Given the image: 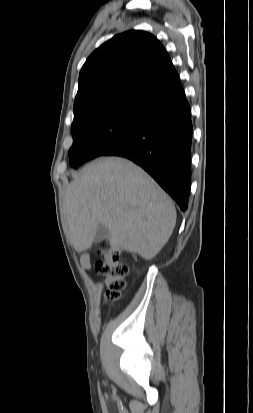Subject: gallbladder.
I'll use <instances>...</instances> for the list:
<instances>
[{
	"mask_svg": "<svg viewBox=\"0 0 253 413\" xmlns=\"http://www.w3.org/2000/svg\"><path fill=\"white\" fill-rule=\"evenodd\" d=\"M109 234H110V233H109V230H108L107 227H105V226H103V225H99L98 228H97V230H96V232H95L93 241H94L95 243H100V242H102L103 240H105L106 238H108V237H109Z\"/></svg>",
	"mask_w": 253,
	"mask_h": 413,
	"instance_id": "1",
	"label": "gallbladder"
}]
</instances>
